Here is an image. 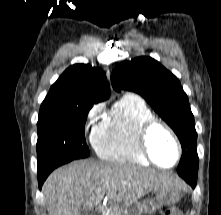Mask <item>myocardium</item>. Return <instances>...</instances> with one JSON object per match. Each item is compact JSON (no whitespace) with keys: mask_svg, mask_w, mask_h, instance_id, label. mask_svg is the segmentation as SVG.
I'll list each match as a JSON object with an SVG mask.
<instances>
[{"mask_svg":"<svg viewBox=\"0 0 221 215\" xmlns=\"http://www.w3.org/2000/svg\"><path fill=\"white\" fill-rule=\"evenodd\" d=\"M155 127L163 128L170 135V137L172 138V140L176 146V151H177L176 159H175L174 163L169 166L160 165L158 162L155 161V159L153 158V156L150 152L149 145H148V139H149V135H150L151 131ZM136 143H137V147H138L139 151L147 159V161L149 163L153 164L154 166L161 168V169L174 168L179 163L181 156H182V147H181L180 141H179L176 133L174 132V130L166 122H164L163 120H160L158 118H155V117L145 121L140 126V128L138 129L137 134H136Z\"/></svg>","mask_w":221,"mask_h":215,"instance_id":"myocardium-1","label":"myocardium"}]
</instances>
